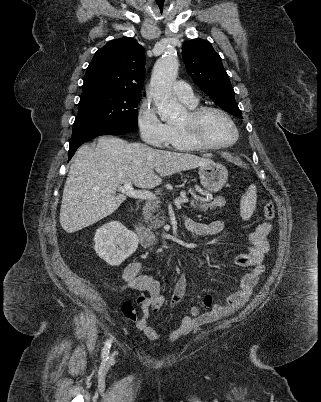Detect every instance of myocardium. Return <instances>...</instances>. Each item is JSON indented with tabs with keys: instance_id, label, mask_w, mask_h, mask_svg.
<instances>
[{
	"instance_id": "obj_1",
	"label": "myocardium",
	"mask_w": 321,
	"mask_h": 402,
	"mask_svg": "<svg viewBox=\"0 0 321 402\" xmlns=\"http://www.w3.org/2000/svg\"><path fill=\"white\" fill-rule=\"evenodd\" d=\"M208 112H216L222 115L232 126L234 137L231 141L223 144H214L208 142L200 133V122L205 114ZM180 128L187 136V138L196 146L202 149L219 150L233 146L239 139L238 127L230 116L222 108L216 106H199L194 109H189L186 113V118L179 123Z\"/></svg>"
}]
</instances>
